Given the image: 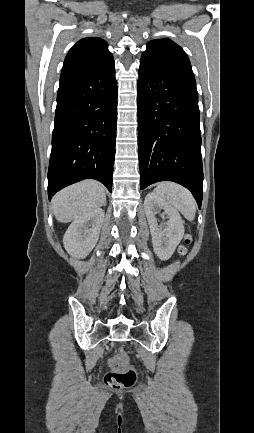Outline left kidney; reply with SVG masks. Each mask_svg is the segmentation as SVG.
<instances>
[{
  "mask_svg": "<svg viewBox=\"0 0 254 433\" xmlns=\"http://www.w3.org/2000/svg\"><path fill=\"white\" fill-rule=\"evenodd\" d=\"M155 254L161 260H168L183 238L184 226L179 212L155 193H148L144 201ZM163 209L168 216L165 228H161L155 217Z\"/></svg>",
  "mask_w": 254,
  "mask_h": 433,
  "instance_id": "left-kidney-1",
  "label": "left kidney"
}]
</instances>
